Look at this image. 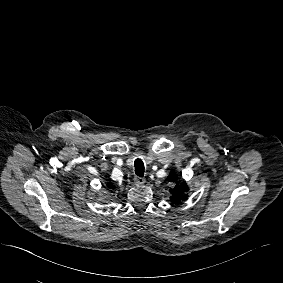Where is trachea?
Segmentation results:
<instances>
[{
  "instance_id": "3493384b",
  "label": "trachea",
  "mask_w": 283,
  "mask_h": 283,
  "mask_svg": "<svg viewBox=\"0 0 283 283\" xmlns=\"http://www.w3.org/2000/svg\"><path fill=\"white\" fill-rule=\"evenodd\" d=\"M135 174L139 177L144 176V163L141 159H136L134 162Z\"/></svg>"
}]
</instances>
